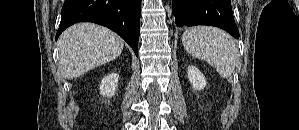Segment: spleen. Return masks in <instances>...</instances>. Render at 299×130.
<instances>
[{
    "mask_svg": "<svg viewBox=\"0 0 299 130\" xmlns=\"http://www.w3.org/2000/svg\"><path fill=\"white\" fill-rule=\"evenodd\" d=\"M182 43L192 57L206 61L222 78L232 76L239 51L225 31L211 26L190 27L183 33Z\"/></svg>",
    "mask_w": 299,
    "mask_h": 130,
    "instance_id": "obj_1",
    "label": "spleen"
}]
</instances>
